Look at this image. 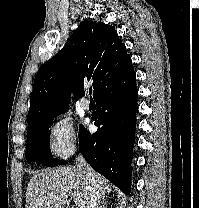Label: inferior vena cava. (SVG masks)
I'll use <instances>...</instances> for the list:
<instances>
[{
	"instance_id": "inferior-vena-cava-1",
	"label": "inferior vena cava",
	"mask_w": 199,
	"mask_h": 208,
	"mask_svg": "<svg viewBox=\"0 0 199 208\" xmlns=\"http://www.w3.org/2000/svg\"><path fill=\"white\" fill-rule=\"evenodd\" d=\"M76 166L82 171L89 183V193L85 204V208H101L104 196L100 191V186L93 169L89 166L82 155L76 157Z\"/></svg>"
}]
</instances>
